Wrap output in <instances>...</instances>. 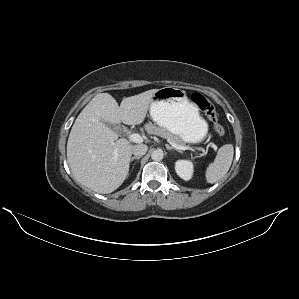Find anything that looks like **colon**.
<instances>
[{"mask_svg": "<svg viewBox=\"0 0 299 299\" xmlns=\"http://www.w3.org/2000/svg\"><path fill=\"white\" fill-rule=\"evenodd\" d=\"M191 100L199 110L206 114L208 119L213 123L216 132L221 136L224 135L225 128L220 123L213 104L201 93L192 94Z\"/></svg>", "mask_w": 299, "mask_h": 299, "instance_id": "5ec220e1", "label": "colon"}]
</instances>
